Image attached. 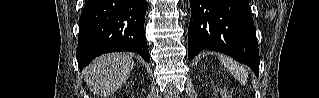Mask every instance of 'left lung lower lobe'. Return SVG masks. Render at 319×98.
Instances as JSON below:
<instances>
[{
  "mask_svg": "<svg viewBox=\"0 0 319 98\" xmlns=\"http://www.w3.org/2000/svg\"><path fill=\"white\" fill-rule=\"evenodd\" d=\"M188 58L209 49L248 65L258 76L259 53L248 0H190Z\"/></svg>",
  "mask_w": 319,
  "mask_h": 98,
  "instance_id": "1",
  "label": "left lung lower lobe"
}]
</instances>
